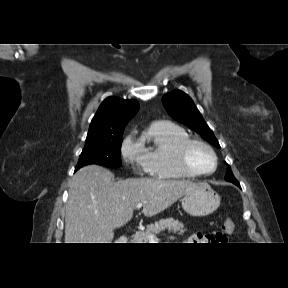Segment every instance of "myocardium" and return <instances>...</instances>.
<instances>
[{
  "label": "myocardium",
  "instance_id": "f54148a6",
  "mask_svg": "<svg viewBox=\"0 0 288 288\" xmlns=\"http://www.w3.org/2000/svg\"><path fill=\"white\" fill-rule=\"evenodd\" d=\"M194 146H201L207 149L211 153L214 159V168L211 171L209 172L201 171L197 169L196 167H194L193 164L190 162L189 155H190V151L192 147ZM177 156H178V162L180 166L186 172L193 174L195 176H210L214 174L218 169L219 159H218V155L216 151L213 149V147L210 144L200 139L188 138L184 140L178 147Z\"/></svg>",
  "mask_w": 288,
  "mask_h": 288
}]
</instances>
